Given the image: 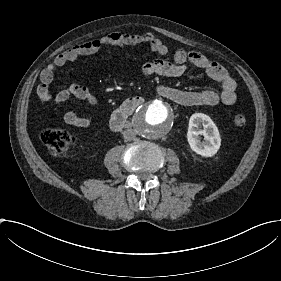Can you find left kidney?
Returning a JSON list of instances; mask_svg holds the SVG:
<instances>
[{"label":"left kidney","mask_w":281,"mask_h":281,"mask_svg":"<svg viewBox=\"0 0 281 281\" xmlns=\"http://www.w3.org/2000/svg\"><path fill=\"white\" fill-rule=\"evenodd\" d=\"M200 124L203 125V130L199 129ZM199 135L204 136V141L200 140ZM187 139L191 149L204 157L215 155L221 144L217 126L203 113H195L190 117Z\"/></svg>","instance_id":"5707ae66"}]
</instances>
